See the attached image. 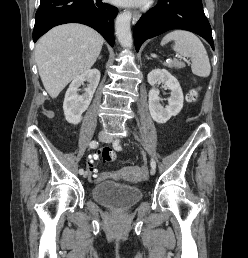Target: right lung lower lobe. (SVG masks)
Returning <instances> with one entry per match:
<instances>
[{
  "label": "right lung lower lobe",
  "instance_id": "98d812e1",
  "mask_svg": "<svg viewBox=\"0 0 248 258\" xmlns=\"http://www.w3.org/2000/svg\"><path fill=\"white\" fill-rule=\"evenodd\" d=\"M117 13L116 7L102 0H40L33 40L36 42L54 26L76 22L94 28L113 46V24Z\"/></svg>",
  "mask_w": 248,
  "mask_h": 258
}]
</instances>
